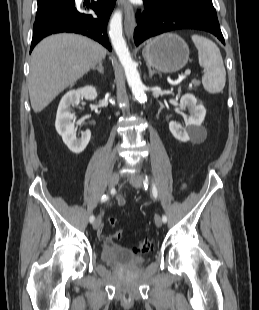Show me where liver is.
Here are the masks:
<instances>
[{
  "label": "liver",
  "instance_id": "1",
  "mask_svg": "<svg viewBox=\"0 0 259 310\" xmlns=\"http://www.w3.org/2000/svg\"><path fill=\"white\" fill-rule=\"evenodd\" d=\"M106 54L102 45L81 35L61 33L41 41L30 62L29 96L33 111L41 112Z\"/></svg>",
  "mask_w": 259,
  "mask_h": 310
}]
</instances>
